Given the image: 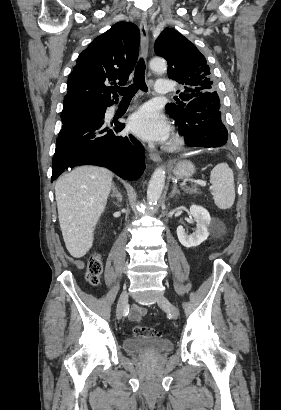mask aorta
Listing matches in <instances>:
<instances>
[{"label":"aorta","mask_w":281,"mask_h":410,"mask_svg":"<svg viewBox=\"0 0 281 410\" xmlns=\"http://www.w3.org/2000/svg\"><path fill=\"white\" fill-rule=\"evenodd\" d=\"M150 67L157 73H164L167 70L166 61L163 59H153L150 62ZM165 170L158 168L154 171L147 189V200L150 204L156 203L161 197L165 185Z\"/></svg>","instance_id":"1"}]
</instances>
